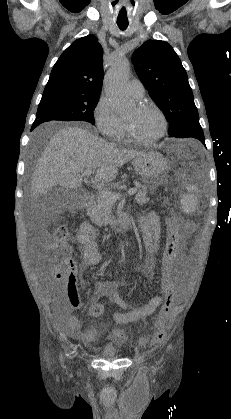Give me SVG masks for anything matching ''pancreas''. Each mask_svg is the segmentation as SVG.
<instances>
[{
    "label": "pancreas",
    "instance_id": "cf45deb5",
    "mask_svg": "<svg viewBox=\"0 0 231 419\" xmlns=\"http://www.w3.org/2000/svg\"><path fill=\"white\" fill-rule=\"evenodd\" d=\"M136 190L137 194L135 197V202L140 205L146 204L149 201L146 196V187L143 186L142 188ZM113 206L114 202L101 195H97L94 199V202L87 207V214L94 224L98 226L107 225L112 220V212L114 209Z\"/></svg>",
    "mask_w": 231,
    "mask_h": 419
}]
</instances>
